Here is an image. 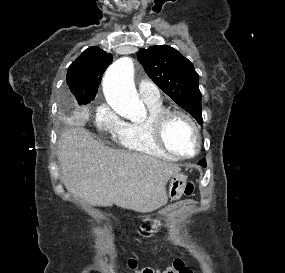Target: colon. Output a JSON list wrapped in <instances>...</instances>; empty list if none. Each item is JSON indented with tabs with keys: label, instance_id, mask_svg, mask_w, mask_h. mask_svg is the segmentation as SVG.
Wrapping results in <instances>:
<instances>
[{
	"label": "colon",
	"instance_id": "1",
	"mask_svg": "<svg viewBox=\"0 0 285 273\" xmlns=\"http://www.w3.org/2000/svg\"><path fill=\"white\" fill-rule=\"evenodd\" d=\"M195 189V184L193 182H188L184 188V195L192 196L195 192ZM128 264L134 273H193L191 265L187 260L183 258L175 259L170 267H167L163 270H154L153 268L149 267L138 268L135 259H130Z\"/></svg>",
	"mask_w": 285,
	"mask_h": 273
}]
</instances>
